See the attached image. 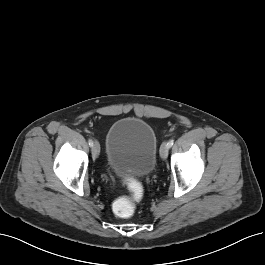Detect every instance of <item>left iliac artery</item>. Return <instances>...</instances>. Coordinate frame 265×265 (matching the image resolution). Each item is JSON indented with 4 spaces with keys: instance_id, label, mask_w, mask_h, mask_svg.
<instances>
[{
    "instance_id": "1",
    "label": "left iliac artery",
    "mask_w": 265,
    "mask_h": 265,
    "mask_svg": "<svg viewBox=\"0 0 265 265\" xmlns=\"http://www.w3.org/2000/svg\"><path fill=\"white\" fill-rule=\"evenodd\" d=\"M173 144H174V139L169 140V142H168V146H169V148H170Z\"/></svg>"
}]
</instances>
